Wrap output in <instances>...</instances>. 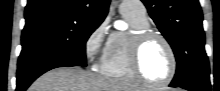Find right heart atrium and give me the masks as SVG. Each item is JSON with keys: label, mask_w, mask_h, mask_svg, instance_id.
<instances>
[{"label": "right heart atrium", "mask_w": 220, "mask_h": 91, "mask_svg": "<svg viewBox=\"0 0 220 91\" xmlns=\"http://www.w3.org/2000/svg\"><path fill=\"white\" fill-rule=\"evenodd\" d=\"M106 34V25L101 23L86 37L84 42V53L89 62L92 63L96 59L101 62L107 47Z\"/></svg>", "instance_id": "1"}]
</instances>
